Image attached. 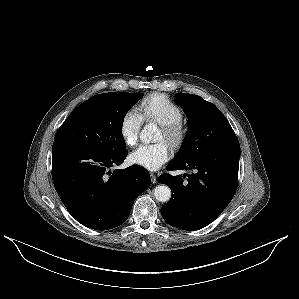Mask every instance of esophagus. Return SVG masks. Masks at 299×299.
<instances>
[{"label": "esophagus", "mask_w": 299, "mask_h": 299, "mask_svg": "<svg viewBox=\"0 0 299 299\" xmlns=\"http://www.w3.org/2000/svg\"><path fill=\"white\" fill-rule=\"evenodd\" d=\"M150 177H151V182L153 184H155L157 182V177L154 173H150Z\"/></svg>", "instance_id": "obj_1"}]
</instances>
